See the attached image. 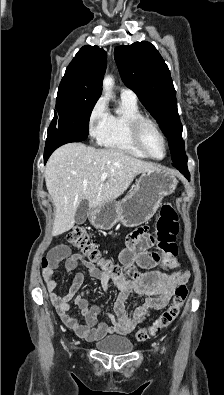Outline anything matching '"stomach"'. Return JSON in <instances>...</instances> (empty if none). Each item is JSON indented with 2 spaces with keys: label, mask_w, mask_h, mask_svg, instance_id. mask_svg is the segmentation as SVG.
Returning a JSON list of instances; mask_svg holds the SVG:
<instances>
[{
  "label": "stomach",
  "mask_w": 224,
  "mask_h": 395,
  "mask_svg": "<svg viewBox=\"0 0 224 395\" xmlns=\"http://www.w3.org/2000/svg\"><path fill=\"white\" fill-rule=\"evenodd\" d=\"M178 184L170 169L156 168L143 172L135 188L121 201H107L93 209L91 224L99 229H111L117 222L126 227L139 226L152 218L165 196Z\"/></svg>",
  "instance_id": "1"
}]
</instances>
